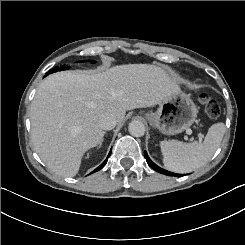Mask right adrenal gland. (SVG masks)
<instances>
[{
	"label": "right adrenal gland",
	"mask_w": 245,
	"mask_h": 245,
	"mask_svg": "<svg viewBox=\"0 0 245 245\" xmlns=\"http://www.w3.org/2000/svg\"><path fill=\"white\" fill-rule=\"evenodd\" d=\"M102 142H103V139L101 140V142L99 143V148L101 147V145H102Z\"/></svg>",
	"instance_id": "2a0ac1e0"
}]
</instances>
